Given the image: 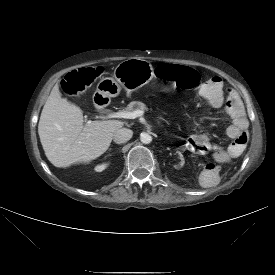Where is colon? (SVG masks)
<instances>
[{
	"instance_id": "1",
	"label": "colon",
	"mask_w": 275,
	"mask_h": 275,
	"mask_svg": "<svg viewBox=\"0 0 275 275\" xmlns=\"http://www.w3.org/2000/svg\"><path fill=\"white\" fill-rule=\"evenodd\" d=\"M101 73L100 68L87 67L73 71L66 75L62 82V89L69 95L82 93ZM156 73L159 78L174 83L177 88L182 90H196L201 85L200 75L186 66L176 64L160 65L157 67ZM247 142L248 133L244 131L229 144V154H240L245 149Z\"/></svg>"
}]
</instances>
